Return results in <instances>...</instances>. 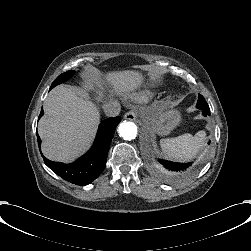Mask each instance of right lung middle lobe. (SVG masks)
<instances>
[{
	"instance_id": "1",
	"label": "right lung middle lobe",
	"mask_w": 251,
	"mask_h": 251,
	"mask_svg": "<svg viewBox=\"0 0 251 251\" xmlns=\"http://www.w3.org/2000/svg\"><path fill=\"white\" fill-rule=\"evenodd\" d=\"M75 71L73 70H70V71H67L61 75H59L55 80L54 82L52 83L51 87H50V90L52 88H54L55 86L61 84V83H64L65 81H67L68 79H70L73 75H74Z\"/></svg>"
}]
</instances>
